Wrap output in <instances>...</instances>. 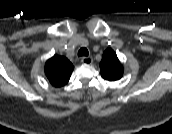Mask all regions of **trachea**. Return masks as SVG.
<instances>
[{"label": "trachea", "instance_id": "trachea-1", "mask_svg": "<svg viewBox=\"0 0 172 134\" xmlns=\"http://www.w3.org/2000/svg\"><path fill=\"white\" fill-rule=\"evenodd\" d=\"M89 55V52L87 50V48L82 47L79 51H78V56H85L87 57Z\"/></svg>", "mask_w": 172, "mask_h": 134}]
</instances>
